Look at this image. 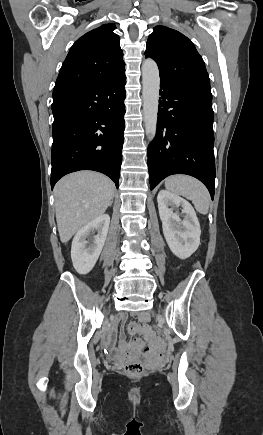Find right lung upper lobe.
<instances>
[{
  "instance_id": "obj_1",
  "label": "right lung upper lobe",
  "mask_w": 263,
  "mask_h": 435,
  "mask_svg": "<svg viewBox=\"0 0 263 435\" xmlns=\"http://www.w3.org/2000/svg\"><path fill=\"white\" fill-rule=\"evenodd\" d=\"M114 24H104L80 37L71 47L53 95L81 89L125 71L120 39Z\"/></svg>"
}]
</instances>
